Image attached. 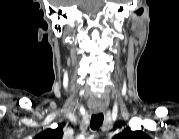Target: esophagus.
I'll return each mask as SVG.
<instances>
[{"label":"esophagus","instance_id":"34e87169","mask_svg":"<svg viewBox=\"0 0 179 139\" xmlns=\"http://www.w3.org/2000/svg\"><path fill=\"white\" fill-rule=\"evenodd\" d=\"M96 112L98 113V112H100V110H96Z\"/></svg>","mask_w":179,"mask_h":139}]
</instances>
